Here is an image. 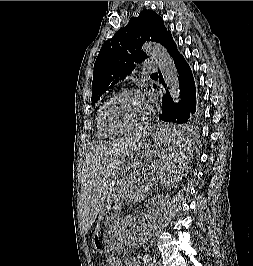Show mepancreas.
Wrapping results in <instances>:
<instances>
[{"label":"pancreas","instance_id":"1","mask_svg":"<svg viewBox=\"0 0 253 266\" xmlns=\"http://www.w3.org/2000/svg\"><path fill=\"white\" fill-rule=\"evenodd\" d=\"M154 177V176H153ZM144 178L142 180L138 179V174L132 173L130 175H127L123 179V189H122V200L128 201V202H137L138 200L142 199L146 196L144 193V184H151L155 178ZM120 235V233L118 232ZM119 240L120 237H119Z\"/></svg>","mask_w":253,"mask_h":266}]
</instances>
